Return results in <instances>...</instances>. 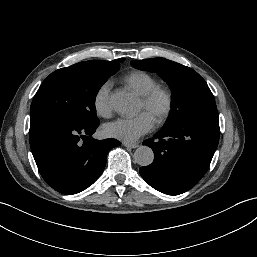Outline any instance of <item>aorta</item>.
I'll list each match as a JSON object with an SVG mask.
<instances>
[{
  "label": "aorta",
  "mask_w": 257,
  "mask_h": 257,
  "mask_svg": "<svg viewBox=\"0 0 257 257\" xmlns=\"http://www.w3.org/2000/svg\"><path fill=\"white\" fill-rule=\"evenodd\" d=\"M112 108L124 115H132L137 111L136 98L127 90H117L110 96ZM134 160L140 166H148L154 160L153 150L148 146H140L134 153Z\"/></svg>",
  "instance_id": "aorta-1"
}]
</instances>
